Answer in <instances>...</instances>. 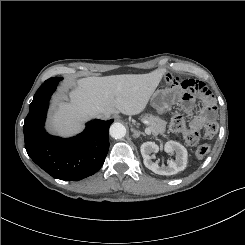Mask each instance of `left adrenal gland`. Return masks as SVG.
<instances>
[{
  "instance_id": "obj_1",
  "label": "left adrenal gland",
  "mask_w": 245,
  "mask_h": 245,
  "mask_svg": "<svg viewBox=\"0 0 245 245\" xmlns=\"http://www.w3.org/2000/svg\"><path fill=\"white\" fill-rule=\"evenodd\" d=\"M131 131L133 132V138H139V136L140 135H144L145 136V133H143V132H140V131H138V130H135V129H133V128H131Z\"/></svg>"
}]
</instances>
